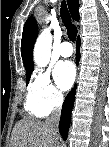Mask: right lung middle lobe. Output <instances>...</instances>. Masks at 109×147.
Segmentation results:
<instances>
[{
  "label": "right lung middle lobe",
  "mask_w": 109,
  "mask_h": 147,
  "mask_svg": "<svg viewBox=\"0 0 109 147\" xmlns=\"http://www.w3.org/2000/svg\"><path fill=\"white\" fill-rule=\"evenodd\" d=\"M31 73H32V71H30L29 73H26V80H27V83L29 82Z\"/></svg>",
  "instance_id": "obj_1"
}]
</instances>
